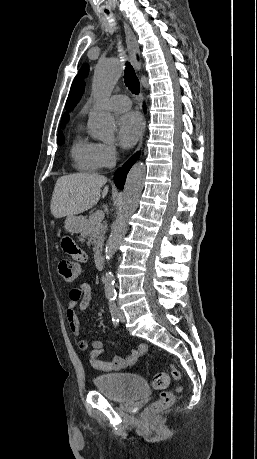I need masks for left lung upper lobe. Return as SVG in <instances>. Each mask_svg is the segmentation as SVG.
<instances>
[{"label":"left lung upper lobe","instance_id":"obj_1","mask_svg":"<svg viewBox=\"0 0 257 459\" xmlns=\"http://www.w3.org/2000/svg\"><path fill=\"white\" fill-rule=\"evenodd\" d=\"M88 72L89 66L88 64H84L79 70L77 76L75 77L66 102L67 110H72L77 104V102L80 100L85 87L84 79L87 77Z\"/></svg>","mask_w":257,"mask_h":459}]
</instances>
